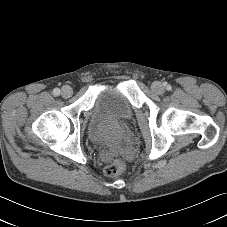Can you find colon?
I'll use <instances>...</instances> for the list:
<instances>
[{
  "mask_svg": "<svg viewBox=\"0 0 227 227\" xmlns=\"http://www.w3.org/2000/svg\"><path fill=\"white\" fill-rule=\"evenodd\" d=\"M124 170H125L124 162L119 158H115L109 164H107V166L104 169V173L107 177L113 178L122 174Z\"/></svg>",
  "mask_w": 227,
  "mask_h": 227,
  "instance_id": "5ec220e1",
  "label": "colon"
}]
</instances>
